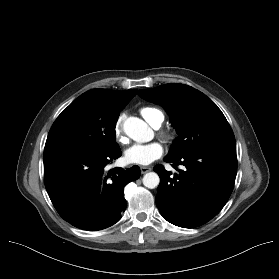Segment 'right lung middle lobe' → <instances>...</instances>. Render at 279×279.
<instances>
[{
  "instance_id": "right-lung-middle-lobe-1",
  "label": "right lung middle lobe",
  "mask_w": 279,
  "mask_h": 279,
  "mask_svg": "<svg viewBox=\"0 0 279 279\" xmlns=\"http://www.w3.org/2000/svg\"><path fill=\"white\" fill-rule=\"evenodd\" d=\"M121 110L100 108L79 96L53 123L44 153L67 148L106 153L118 148L115 126Z\"/></svg>"
}]
</instances>
